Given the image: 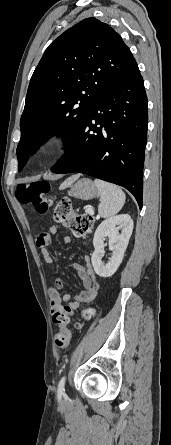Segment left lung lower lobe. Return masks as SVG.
Here are the masks:
<instances>
[{
    "mask_svg": "<svg viewBox=\"0 0 171 445\" xmlns=\"http://www.w3.org/2000/svg\"><path fill=\"white\" fill-rule=\"evenodd\" d=\"M147 127V96L136 65L115 77L94 101L51 171L84 173L125 187L142 208Z\"/></svg>",
    "mask_w": 171,
    "mask_h": 445,
    "instance_id": "left-lung-lower-lobe-1",
    "label": "left lung lower lobe"
}]
</instances>
